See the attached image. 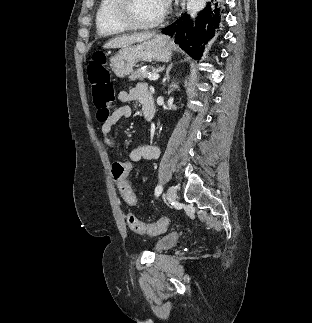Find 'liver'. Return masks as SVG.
Instances as JSON below:
<instances>
[{
    "label": "liver",
    "instance_id": "liver-1",
    "mask_svg": "<svg viewBox=\"0 0 312 323\" xmlns=\"http://www.w3.org/2000/svg\"><path fill=\"white\" fill-rule=\"evenodd\" d=\"M155 34H122L118 38H111L107 44H104L103 48H124L129 44H136V42H144V40H150Z\"/></svg>",
    "mask_w": 312,
    "mask_h": 323
}]
</instances>
